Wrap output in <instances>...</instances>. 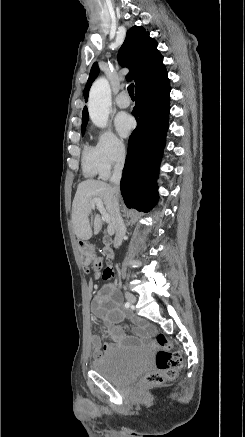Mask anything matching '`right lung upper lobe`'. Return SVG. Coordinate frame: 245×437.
Returning a JSON list of instances; mask_svg holds the SVG:
<instances>
[{"instance_id":"right-lung-upper-lobe-1","label":"right lung upper lobe","mask_w":245,"mask_h":437,"mask_svg":"<svg viewBox=\"0 0 245 437\" xmlns=\"http://www.w3.org/2000/svg\"><path fill=\"white\" fill-rule=\"evenodd\" d=\"M158 43L149 37V32L141 26H133L127 32L124 43L122 44L118 60L122 66L129 68L127 74L128 81L134 80L136 91L157 85L162 81L168 80V73L163 64V57L157 50ZM99 74V67L94 63L83 95L85 101L88 99V92L92 82ZM82 126H86L89 119L87 107L82 112Z\"/></svg>"}]
</instances>
